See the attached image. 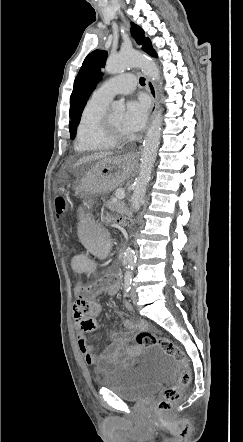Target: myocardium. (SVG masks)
<instances>
[{"label":"myocardium","instance_id":"obj_1","mask_svg":"<svg viewBox=\"0 0 243 442\" xmlns=\"http://www.w3.org/2000/svg\"><path fill=\"white\" fill-rule=\"evenodd\" d=\"M100 134L101 138L112 146L122 144L128 140L127 135H119L114 131L107 115H104L101 121Z\"/></svg>","mask_w":243,"mask_h":442}]
</instances>
